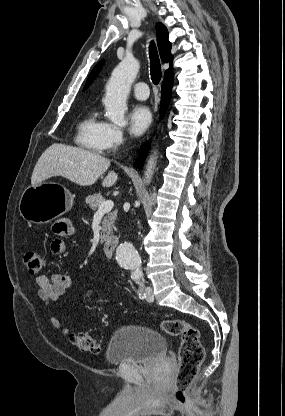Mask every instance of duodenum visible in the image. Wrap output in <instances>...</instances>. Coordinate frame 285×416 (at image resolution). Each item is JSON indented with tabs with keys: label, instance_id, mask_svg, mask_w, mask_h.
Wrapping results in <instances>:
<instances>
[{
	"label": "duodenum",
	"instance_id": "duodenum-1",
	"mask_svg": "<svg viewBox=\"0 0 285 416\" xmlns=\"http://www.w3.org/2000/svg\"><path fill=\"white\" fill-rule=\"evenodd\" d=\"M118 243H119V239L114 236L107 238L103 242L102 249L106 257L110 258L113 256Z\"/></svg>",
	"mask_w": 285,
	"mask_h": 416
}]
</instances>
